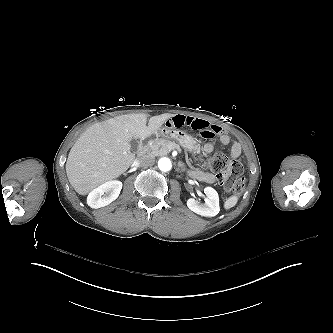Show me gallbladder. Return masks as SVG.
<instances>
[{
    "label": "gallbladder",
    "mask_w": 333,
    "mask_h": 333,
    "mask_svg": "<svg viewBox=\"0 0 333 333\" xmlns=\"http://www.w3.org/2000/svg\"><path fill=\"white\" fill-rule=\"evenodd\" d=\"M131 149L132 151L136 152L138 150V141L135 139H132L130 141Z\"/></svg>",
    "instance_id": "1"
}]
</instances>
